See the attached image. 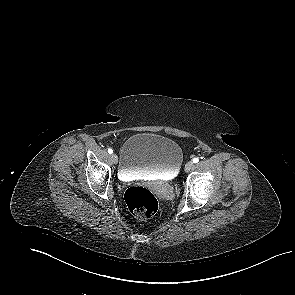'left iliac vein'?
Listing matches in <instances>:
<instances>
[{
	"instance_id": "4c4485c4",
	"label": "left iliac vein",
	"mask_w": 295,
	"mask_h": 295,
	"mask_svg": "<svg viewBox=\"0 0 295 295\" xmlns=\"http://www.w3.org/2000/svg\"><path fill=\"white\" fill-rule=\"evenodd\" d=\"M193 166H194V164L192 161L187 162L185 165V171L189 172L193 168Z\"/></svg>"
}]
</instances>
